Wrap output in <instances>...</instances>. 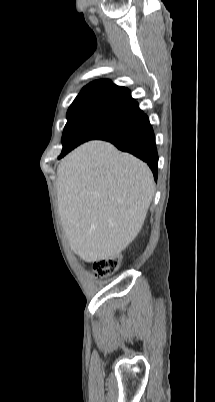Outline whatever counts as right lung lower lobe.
I'll return each mask as SVG.
<instances>
[{"mask_svg": "<svg viewBox=\"0 0 215 402\" xmlns=\"http://www.w3.org/2000/svg\"><path fill=\"white\" fill-rule=\"evenodd\" d=\"M106 141L146 162L157 180L158 154L154 132L146 114L142 112L137 120Z\"/></svg>", "mask_w": 215, "mask_h": 402, "instance_id": "98d812e1", "label": "right lung lower lobe"}]
</instances>
